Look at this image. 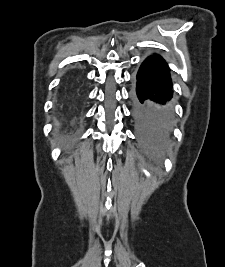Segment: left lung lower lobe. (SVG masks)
I'll return each mask as SVG.
<instances>
[{"mask_svg":"<svg viewBox=\"0 0 225 267\" xmlns=\"http://www.w3.org/2000/svg\"><path fill=\"white\" fill-rule=\"evenodd\" d=\"M133 94L136 106L146 107L154 123L172 127V80L160 55H150L143 61L134 78Z\"/></svg>","mask_w":225,"mask_h":267,"instance_id":"1","label":"left lung lower lobe"}]
</instances>
